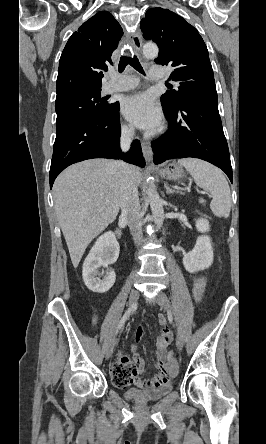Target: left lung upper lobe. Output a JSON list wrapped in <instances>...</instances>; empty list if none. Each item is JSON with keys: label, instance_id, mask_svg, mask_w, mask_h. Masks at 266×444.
<instances>
[{"label": "left lung upper lobe", "instance_id": "1", "mask_svg": "<svg viewBox=\"0 0 266 444\" xmlns=\"http://www.w3.org/2000/svg\"><path fill=\"white\" fill-rule=\"evenodd\" d=\"M140 27L144 38L159 47L155 62L171 64V77L179 83L176 90L161 96L164 110L174 111L188 100L217 98L207 47L192 25L168 9L153 8L146 12Z\"/></svg>", "mask_w": 266, "mask_h": 444}]
</instances>
